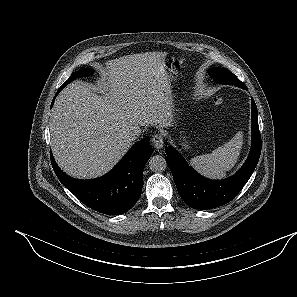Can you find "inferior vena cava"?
I'll return each mask as SVG.
<instances>
[{"label":"inferior vena cava","instance_id":"1","mask_svg":"<svg viewBox=\"0 0 297 297\" xmlns=\"http://www.w3.org/2000/svg\"><path fill=\"white\" fill-rule=\"evenodd\" d=\"M141 134V129L139 126H129L124 131V138L127 141H134Z\"/></svg>","mask_w":297,"mask_h":297}]
</instances>
